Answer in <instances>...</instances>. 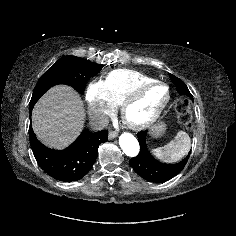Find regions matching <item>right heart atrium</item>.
<instances>
[{
    "mask_svg": "<svg viewBox=\"0 0 236 236\" xmlns=\"http://www.w3.org/2000/svg\"><path fill=\"white\" fill-rule=\"evenodd\" d=\"M86 102L88 115L97 123H102L115 108L107 99L104 80H95L88 85Z\"/></svg>",
    "mask_w": 236,
    "mask_h": 236,
    "instance_id": "d8ad5b80",
    "label": "right heart atrium"
}]
</instances>
